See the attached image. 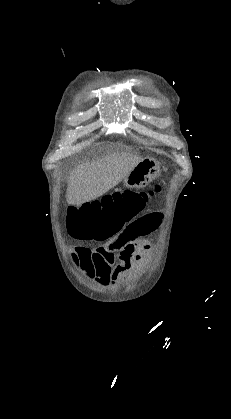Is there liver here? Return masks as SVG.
<instances>
[{"instance_id":"liver-1","label":"liver","mask_w":231,"mask_h":419,"mask_svg":"<svg viewBox=\"0 0 231 419\" xmlns=\"http://www.w3.org/2000/svg\"><path fill=\"white\" fill-rule=\"evenodd\" d=\"M142 160V157L134 154L120 153L77 166L67 180V203L81 206L102 196L121 182Z\"/></svg>"}]
</instances>
